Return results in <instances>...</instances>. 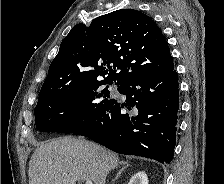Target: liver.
<instances>
[{"mask_svg":"<svg viewBox=\"0 0 224 184\" xmlns=\"http://www.w3.org/2000/svg\"><path fill=\"white\" fill-rule=\"evenodd\" d=\"M117 154L95 143L70 136L47 141L36 148L29 162V184H106L119 164Z\"/></svg>","mask_w":224,"mask_h":184,"instance_id":"1","label":"liver"}]
</instances>
